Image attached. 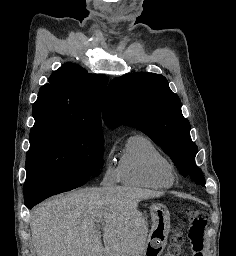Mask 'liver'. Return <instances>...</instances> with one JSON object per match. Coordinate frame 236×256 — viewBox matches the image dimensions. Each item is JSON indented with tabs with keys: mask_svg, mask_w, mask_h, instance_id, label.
Instances as JSON below:
<instances>
[{
	"mask_svg": "<svg viewBox=\"0 0 236 256\" xmlns=\"http://www.w3.org/2000/svg\"><path fill=\"white\" fill-rule=\"evenodd\" d=\"M163 194L141 188L103 186L46 200L34 208L30 222L36 254L140 256L147 228L137 210L138 204L145 198H160ZM96 216H103L98 226L94 222Z\"/></svg>",
	"mask_w": 236,
	"mask_h": 256,
	"instance_id": "1",
	"label": "liver"
}]
</instances>
